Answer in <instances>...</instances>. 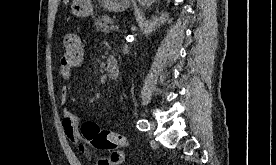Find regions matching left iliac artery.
I'll return each mask as SVG.
<instances>
[{
    "mask_svg": "<svg viewBox=\"0 0 276 165\" xmlns=\"http://www.w3.org/2000/svg\"><path fill=\"white\" fill-rule=\"evenodd\" d=\"M137 128L140 131H148L150 129V124H149V122L147 120L141 119L137 123Z\"/></svg>",
    "mask_w": 276,
    "mask_h": 165,
    "instance_id": "obj_1",
    "label": "left iliac artery"
}]
</instances>
